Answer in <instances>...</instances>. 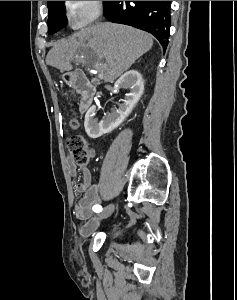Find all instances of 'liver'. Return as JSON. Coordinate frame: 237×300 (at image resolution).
<instances>
[{"label": "liver", "mask_w": 237, "mask_h": 300, "mask_svg": "<svg viewBox=\"0 0 237 300\" xmlns=\"http://www.w3.org/2000/svg\"><path fill=\"white\" fill-rule=\"evenodd\" d=\"M153 45L152 35L113 23H97L69 39H62L54 43L46 57V65L64 71H72L70 61L84 59L89 49L98 57V61L105 59L108 65H94L97 71H104V81L113 83L124 71H127L136 59L150 51Z\"/></svg>", "instance_id": "obj_1"}]
</instances>
